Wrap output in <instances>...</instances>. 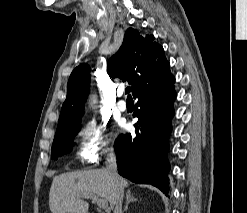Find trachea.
<instances>
[{
    "instance_id": "1",
    "label": "trachea",
    "mask_w": 247,
    "mask_h": 213,
    "mask_svg": "<svg viewBox=\"0 0 247 213\" xmlns=\"http://www.w3.org/2000/svg\"><path fill=\"white\" fill-rule=\"evenodd\" d=\"M130 91H131V88H130V87H127V88L125 89V94L128 95V96H127L128 99H132V97H131V95H130Z\"/></svg>"
}]
</instances>
